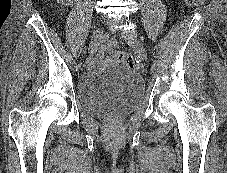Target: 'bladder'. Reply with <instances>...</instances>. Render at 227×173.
<instances>
[{"instance_id":"1","label":"bladder","mask_w":227,"mask_h":173,"mask_svg":"<svg viewBox=\"0 0 227 173\" xmlns=\"http://www.w3.org/2000/svg\"><path fill=\"white\" fill-rule=\"evenodd\" d=\"M143 94L142 77L122 65L87 70L76 85L80 107L96 117L125 116L139 106Z\"/></svg>"}]
</instances>
